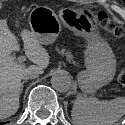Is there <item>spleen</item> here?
I'll list each match as a JSON object with an SVG mask.
<instances>
[{"label": "spleen", "instance_id": "obj_1", "mask_svg": "<svg viewBox=\"0 0 125 125\" xmlns=\"http://www.w3.org/2000/svg\"><path fill=\"white\" fill-rule=\"evenodd\" d=\"M125 114V97L98 100L78 96L73 104L71 117L74 125H113Z\"/></svg>", "mask_w": 125, "mask_h": 125}]
</instances>
